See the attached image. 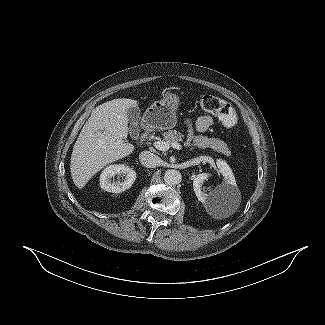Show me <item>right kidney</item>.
Instances as JSON below:
<instances>
[{"instance_id": "ca27d5eb", "label": "right kidney", "mask_w": 325, "mask_h": 325, "mask_svg": "<svg viewBox=\"0 0 325 325\" xmlns=\"http://www.w3.org/2000/svg\"><path fill=\"white\" fill-rule=\"evenodd\" d=\"M116 175L124 176L123 181H113ZM136 179V172L124 164L107 166L100 175V186L103 190L112 193H120L129 189Z\"/></svg>"}]
</instances>
